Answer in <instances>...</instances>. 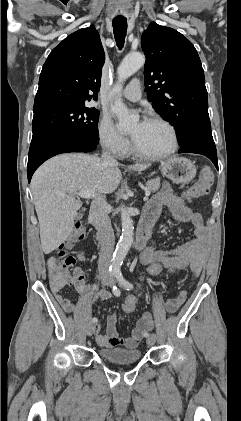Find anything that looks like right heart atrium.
<instances>
[{
  "label": "right heart atrium",
  "instance_id": "1",
  "mask_svg": "<svg viewBox=\"0 0 241 421\" xmlns=\"http://www.w3.org/2000/svg\"><path fill=\"white\" fill-rule=\"evenodd\" d=\"M98 137L102 146L116 156H123L129 148V141L107 115L98 123Z\"/></svg>",
  "mask_w": 241,
  "mask_h": 421
}]
</instances>
